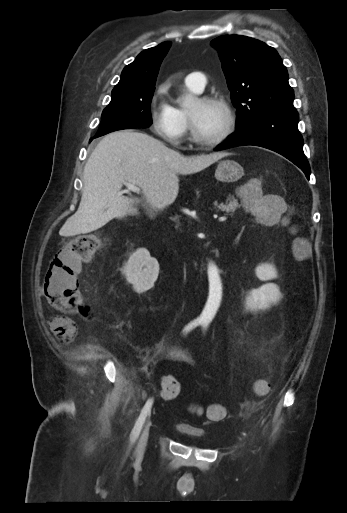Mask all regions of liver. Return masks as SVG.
Returning <instances> with one entry per match:
<instances>
[{
  "label": "liver",
  "instance_id": "liver-1",
  "mask_svg": "<svg viewBox=\"0 0 347 513\" xmlns=\"http://www.w3.org/2000/svg\"><path fill=\"white\" fill-rule=\"evenodd\" d=\"M227 155L214 152L185 157L146 133L112 132L104 136L89 157L80 205L59 234H86L135 211L134 206L142 199L123 196L120 190L125 183L141 188L143 200L151 209H163L178 195V174L197 173Z\"/></svg>",
  "mask_w": 347,
  "mask_h": 513
}]
</instances>
